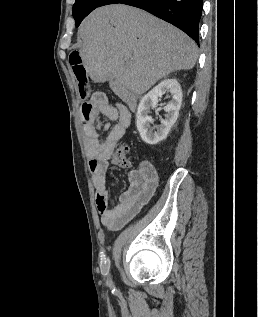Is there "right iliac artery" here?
Returning <instances> with one entry per match:
<instances>
[{"instance_id":"obj_1","label":"right iliac artery","mask_w":258,"mask_h":317,"mask_svg":"<svg viewBox=\"0 0 258 317\" xmlns=\"http://www.w3.org/2000/svg\"><path fill=\"white\" fill-rule=\"evenodd\" d=\"M106 283L107 286L110 287V289H112V292L115 291V286L112 280H108Z\"/></svg>"}]
</instances>
